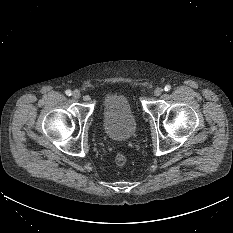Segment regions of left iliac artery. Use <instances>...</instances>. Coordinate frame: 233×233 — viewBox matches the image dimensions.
<instances>
[{"label": "left iliac artery", "mask_w": 233, "mask_h": 233, "mask_svg": "<svg viewBox=\"0 0 233 233\" xmlns=\"http://www.w3.org/2000/svg\"><path fill=\"white\" fill-rule=\"evenodd\" d=\"M170 89H171L170 85H166L165 88H164L165 91H170Z\"/></svg>", "instance_id": "1"}]
</instances>
